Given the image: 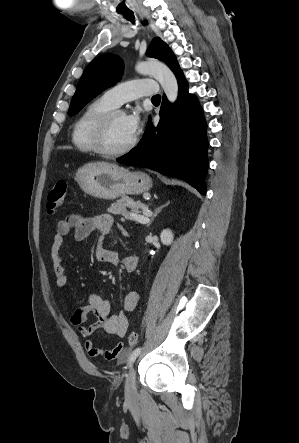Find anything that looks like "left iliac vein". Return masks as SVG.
Masks as SVG:
<instances>
[{
    "instance_id": "left-iliac-vein-1",
    "label": "left iliac vein",
    "mask_w": 299,
    "mask_h": 443,
    "mask_svg": "<svg viewBox=\"0 0 299 443\" xmlns=\"http://www.w3.org/2000/svg\"><path fill=\"white\" fill-rule=\"evenodd\" d=\"M125 395L127 399H132L136 395V372L133 366L130 367L126 378Z\"/></svg>"
}]
</instances>
